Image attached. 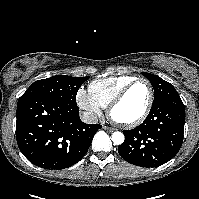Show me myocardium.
Here are the masks:
<instances>
[{
	"label": "myocardium",
	"instance_id": "1",
	"mask_svg": "<svg viewBox=\"0 0 199 199\" xmlns=\"http://www.w3.org/2000/svg\"><path fill=\"white\" fill-rule=\"evenodd\" d=\"M139 82L146 83L148 85V88H149V97H148V101H147V104H146V107H145L143 113L139 117H137V118H135V119H133L131 121H127V122L118 121V120L114 119L113 116H112V112H113L114 108L123 101V99L125 98V96L128 93V91L135 84H137ZM153 101H154V89H153V86H152L151 82L148 79L143 78V77L135 78L131 82H129L116 95V97L111 101V103L107 106V113H108V116L114 122H116L119 126L124 127V128H132V127H135V126L141 124L147 118V116L149 115V113L151 111V108H152V105H153Z\"/></svg>",
	"mask_w": 199,
	"mask_h": 199
}]
</instances>
